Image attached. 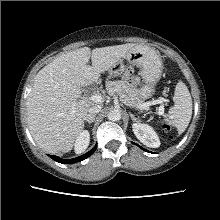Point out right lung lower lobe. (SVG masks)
Returning a JSON list of instances; mask_svg holds the SVG:
<instances>
[{
    "instance_id": "98d812e1",
    "label": "right lung lower lobe",
    "mask_w": 220,
    "mask_h": 220,
    "mask_svg": "<svg viewBox=\"0 0 220 220\" xmlns=\"http://www.w3.org/2000/svg\"><path fill=\"white\" fill-rule=\"evenodd\" d=\"M97 145L91 149L89 152H87L86 154L80 156V157H77V158H73V159H67V160H64V159H61L59 158L58 156H54V155H49L53 160L59 162V163H62V164H72V163H76V162H80L84 159H86L87 157H89L90 155H92L96 149Z\"/></svg>"
}]
</instances>
